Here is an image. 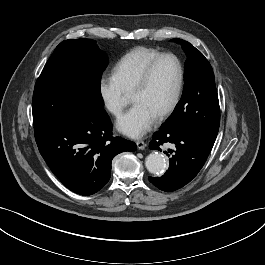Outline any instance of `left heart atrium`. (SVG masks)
I'll list each match as a JSON object with an SVG mask.
<instances>
[{
    "label": "left heart atrium",
    "instance_id": "39dd6f15",
    "mask_svg": "<svg viewBox=\"0 0 265 265\" xmlns=\"http://www.w3.org/2000/svg\"><path fill=\"white\" fill-rule=\"evenodd\" d=\"M156 116L141 104H134L116 122L117 129L131 138L142 137L155 123Z\"/></svg>",
    "mask_w": 265,
    "mask_h": 265
}]
</instances>
